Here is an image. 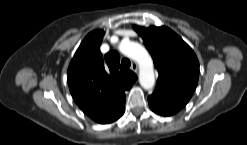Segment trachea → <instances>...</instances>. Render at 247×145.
I'll use <instances>...</instances> for the list:
<instances>
[{
  "mask_svg": "<svg viewBox=\"0 0 247 145\" xmlns=\"http://www.w3.org/2000/svg\"><path fill=\"white\" fill-rule=\"evenodd\" d=\"M121 64L124 68H129L131 65V62L128 58H123L121 61Z\"/></svg>",
  "mask_w": 247,
  "mask_h": 145,
  "instance_id": "1",
  "label": "trachea"
}]
</instances>
